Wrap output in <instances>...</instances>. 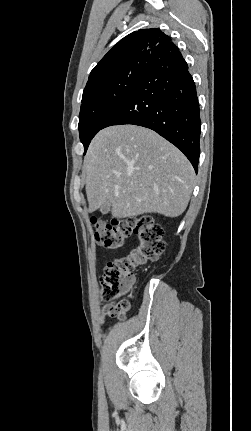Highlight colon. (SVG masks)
Masks as SVG:
<instances>
[{
  "label": "colon",
  "instance_id": "1",
  "mask_svg": "<svg viewBox=\"0 0 251 431\" xmlns=\"http://www.w3.org/2000/svg\"><path fill=\"white\" fill-rule=\"evenodd\" d=\"M91 223L95 240L108 250L120 248L132 235L137 238V245L128 254L108 262L100 277L101 298L108 302L106 312L124 320L130 307L129 302H112L128 291L133 271L137 267L157 260L164 252V230L150 215L110 222L92 217Z\"/></svg>",
  "mask_w": 251,
  "mask_h": 431
}]
</instances>
